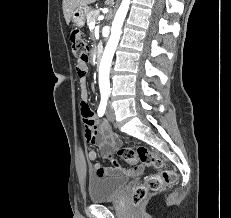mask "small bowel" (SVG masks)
Segmentation results:
<instances>
[{
    "label": "small bowel",
    "instance_id": "1",
    "mask_svg": "<svg viewBox=\"0 0 231 218\" xmlns=\"http://www.w3.org/2000/svg\"><path fill=\"white\" fill-rule=\"evenodd\" d=\"M87 61H89V56H80L76 64V74L79 75L81 85V112L85 123V137L87 141L97 145L101 155L109 159L111 163L110 167L102 166L96 162V151L91 150L87 153V159L94 163L91 172L103 177L112 175L137 176L142 172L143 167L136 166L130 169L122 167L114 157V153L120 146L118 138L112 133L110 127L105 122L95 121V115L89 105V96L86 90V76L89 72L87 69ZM116 161L117 164H115Z\"/></svg>",
    "mask_w": 231,
    "mask_h": 218
}]
</instances>
